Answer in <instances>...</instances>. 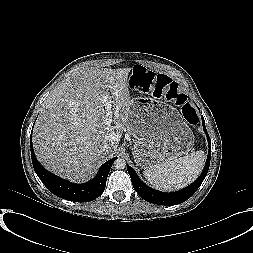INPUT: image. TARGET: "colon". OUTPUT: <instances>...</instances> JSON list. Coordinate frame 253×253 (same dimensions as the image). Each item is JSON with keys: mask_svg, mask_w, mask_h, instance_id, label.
<instances>
[{"mask_svg": "<svg viewBox=\"0 0 253 253\" xmlns=\"http://www.w3.org/2000/svg\"><path fill=\"white\" fill-rule=\"evenodd\" d=\"M132 76L135 80H152L155 84L153 94L157 99L164 100L167 98L174 102L181 107L182 114L189 123H196L197 114L195 110L188 103L186 95L178 91L175 83L169 78L161 74L155 75L141 66L134 68Z\"/></svg>", "mask_w": 253, "mask_h": 253, "instance_id": "1", "label": "colon"}]
</instances>
